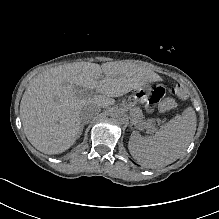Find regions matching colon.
<instances>
[{
    "label": "colon",
    "instance_id": "colon-1",
    "mask_svg": "<svg viewBox=\"0 0 219 219\" xmlns=\"http://www.w3.org/2000/svg\"><path fill=\"white\" fill-rule=\"evenodd\" d=\"M170 94L172 97H167L165 98L161 103H160V110L165 112V111H170L176 106L175 99H185L187 97V93L185 89L177 84L174 85L170 89Z\"/></svg>",
    "mask_w": 219,
    "mask_h": 219
}]
</instances>
